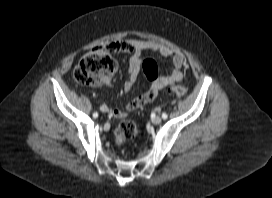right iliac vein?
<instances>
[{"mask_svg":"<svg viewBox=\"0 0 272 198\" xmlns=\"http://www.w3.org/2000/svg\"><path fill=\"white\" fill-rule=\"evenodd\" d=\"M100 110H101L102 112L106 113V112L108 111V107H107L106 105H102V106L100 107Z\"/></svg>","mask_w":272,"mask_h":198,"instance_id":"obj_1","label":"right iliac vein"}]
</instances>
